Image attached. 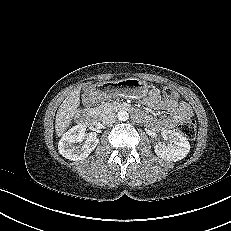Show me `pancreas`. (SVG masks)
I'll list each match as a JSON object with an SVG mask.
<instances>
[{
  "mask_svg": "<svg viewBox=\"0 0 231 231\" xmlns=\"http://www.w3.org/2000/svg\"><path fill=\"white\" fill-rule=\"evenodd\" d=\"M120 107V104L118 103H102L99 107L98 110L100 114H104L107 112H112L117 110Z\"/></svg>",
  "mask_w": 231,
  "mask_h": 231,
  "instance_id": "1",
  "label": "pancreas"
}]
</instances>
